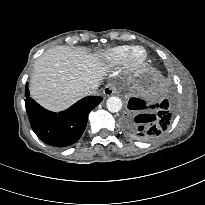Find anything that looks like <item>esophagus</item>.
<instances>
[{
    "instance_id": "esophagus-1",
    "label": "esophagus",
    "mask_w": 205,
    "mask_h": 205,
    "mask_svg": "<svg viewBox=\"0 0 205 205\" xmlns=\"http://www.w3.org/2000/svg\"><path fill=\"white\" fill-rule=\"evenodd\" d=\"M116 92V89L114 86L112 85H106L103 89V94L105 96H111Z\"/></svg>"
}]
</instances>
